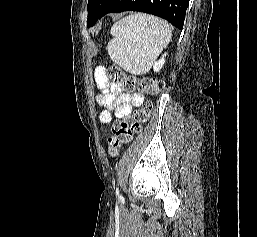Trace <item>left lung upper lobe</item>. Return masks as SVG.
I'll list each match as a JSON object with an SVG mask.
<instances>
[{
  "label": "left lung upper lobe",
  "instance_id": "5c2ea615",
  "mask_svg": "<svg viewBox=\"0 0 257 237\" xmlns=\"http://www.w3.org/2000/svg\"><path fill=\"white\" fill-rule=\"evenodd\" d=\"M107 1L108 0H88V22L93 20Z\"/></svg>",
  "mask_w": 257,
  "mask_h": 237
}]
</instances>
